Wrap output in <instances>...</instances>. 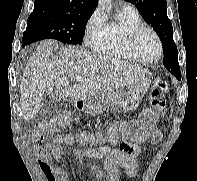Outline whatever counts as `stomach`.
Wrapping results in <instances>:
<instances>
[{
	"instance_id": "0dacf381",
	"label": "stomach",
	"mask_w": 197,
	"mask_h": 181,
	"mask_svg": "<svg viewBox=\"0 0 197 181\" xmlns=\"http://www.w3.org/2000/svg\"><path fill=\"white\" fill-rule=\"evenodd\" d=\"M150 85V77H145L120 90L101 93L92 98L81 100L78 105L90 115L101 114L106 109L132 112L138 108Z\"/></svg>"
}]
</instances>
